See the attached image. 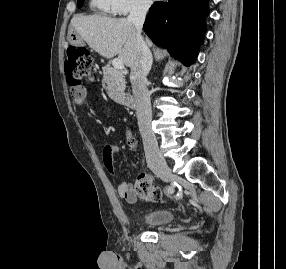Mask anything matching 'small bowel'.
Wrapping results in <instances>:
<instances>
[{
    "label": "small bowel",
    "mask_w": 286,
    "mask_h": 269,
    "mask_svg": "<svg viewBox=\"0 0 286 269\" xmlns=\"http://www.w3.org/2000/svg\"><path fill=\"white\" fill-rule=\"evenodd\" d=\"M109 93H122V88H109ZM113 99H120V94H113ZM71 98L77 104H82L86 99V92L83 88H73L71 90ZM118 153V148L115 145H106L103 149V163L106 169L115 174V164L114 158ZM149 178L150 176L147 175ZM118 195L128 202H135L137 200V195L135 192V187L127 182L119 181L116 186Z\"/></svg>",
    "instance_id": "c3829d8e"
}]
</instances>
